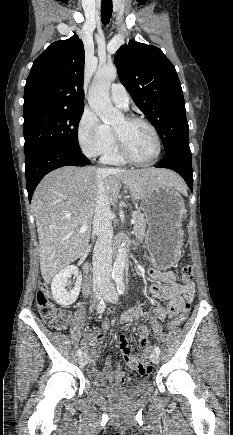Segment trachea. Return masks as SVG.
<instances>
[{"mask_svg": "<svg viewBox=\"0 0 233 435\" xmlns=\"http://www.w3.org/2000/svg\"><path fill=\"white\" fill-rule=\"evenodd\" d=\"M112 0H102L101 3V20L103 25H107L112 16Z\"/></svg>", "mask_w": 233, "mask_h": 435, "instance_id": "3493384b", "label": "trachea"}]
</instances>
